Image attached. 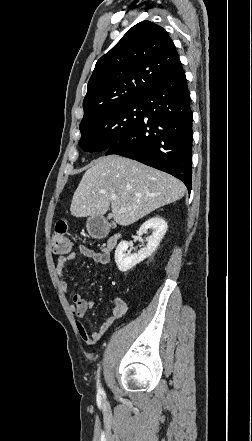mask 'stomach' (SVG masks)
Here are the masks:
<instances>
[{
    "mask_svg": "<svg viewBox=\"0 0 252 441\" xmlns=\"http://www.w3.org/2000/svg\"><path fill=\"white\" fill-rule=\"evenodd\" d=\"M93 217H90L87 221V229L90 231L91 230V223H92Z\"/></svg>",
    "mask_w": 252,
    "mask_h": 441,
    "instance_id": "0dacf381",
    "label": "stomach"
}]
</instances>
